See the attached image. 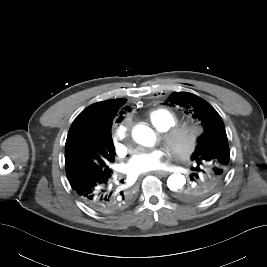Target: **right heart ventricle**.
Instances as JSON below:
<instances>
[{"instance_id":"e07e8e85","label":"right heart ventricle","mask_w":267,"mask_h":267,"mask_svg":"<svg viewBox=\"0 0 267 267\" xmlns=\"http://www.w3.org/2000/svg\"><path fill=\"white\" fill-rule=\"evenodd\" d=\"M149 122L159 131H166L178 122V116L166 108H158L148 113Z\"/></svg>"}]
</instances>
